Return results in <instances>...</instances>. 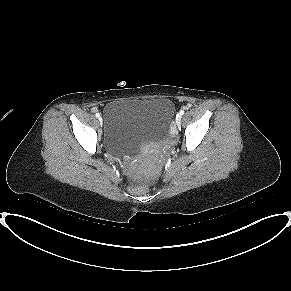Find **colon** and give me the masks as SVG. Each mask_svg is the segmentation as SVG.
<instances>
[{
    "instance_id": "colon-1",
    "label": "colon",
    "mask_w": 291,
    "mask_h": 291,
    "mask_svg": "<svg viewBox=\"0 0 291 291\" xmlns=\"http://www.w3.org/2000/svg\"><path fill=\"white\" fill-rule=\"evenodd\" d=\"M131 187L134 191L146 190L148 188V184L140 177L133 175L131 177Z\"/></svg>"
}]
</instances>
